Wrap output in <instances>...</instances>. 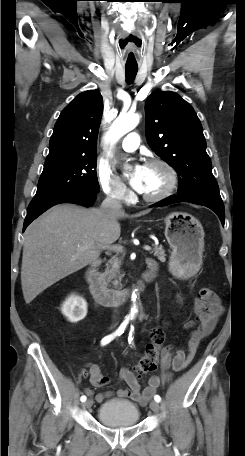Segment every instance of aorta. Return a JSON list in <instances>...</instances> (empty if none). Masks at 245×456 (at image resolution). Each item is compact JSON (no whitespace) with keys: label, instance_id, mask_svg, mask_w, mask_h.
Listing matches in <instances>:
<instances>
[{"label":"aorta","instance_id":"aorta-1","mask_svg":"<svg viewBox=\"0 0 245 456\" xmlns=\"http://www.w3.org/2000/svg\"><path fill=\"white\" fill-rule=\"evenodd\" d=\"M139 123L138 114H122L111 125L109 131L106 133L105 139L111 145L116 144L119 139L126 133L133 130ZM110 155V153H108ZM132 300L135 302L136 295L132 294ZM137 307L134 304L131 308L130 317H134L137 313Z\"/></svg>","mask_w":245,"mask_h":456}]
</instances>
